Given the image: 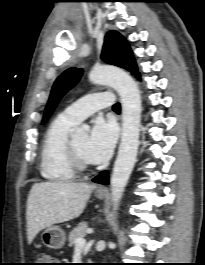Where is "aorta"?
Instances as JSON below:
<instances>
[{
    "mask_svg": "<svg viewBox=\"0 0 205 265\" xmlns=\"http://www.w3.org/2000/svg\"><path fill=\"white\" fill-rule=\"evenodd\" d=\"M89 79L95 84L112 86L121 97L122 135L111 177V195L116 209L136 162L142 111L140 90L129 74L112 66H95ZM88 130L89 126L83 124L78 132L85 135Z\"/></svg>",
    "mask_w": 205,
    "mask_h": 265,
    "instance_id": "762f6f07",
    "label": "aorta"
}]
</instances>
